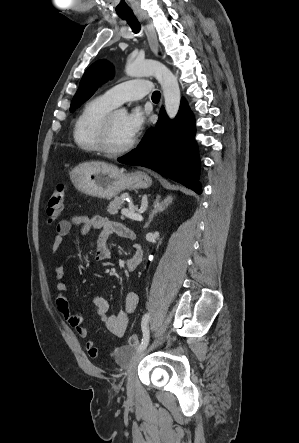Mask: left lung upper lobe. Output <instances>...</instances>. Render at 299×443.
Instances as JSON below:
<instances>
[{
	"mask_svg": "<svg viewBox=\"0 0 299 443\" xmlns=\"http://www.w3.org/2000/svg\"><path fill=\"white\" fill-rule=\"evenodd\" d=\"M112 76L113 67L105 60H100L90 66L84 73L79 89L72 99L70 111L73 112L84 101L89 99L99 85L112 78Z\"/></svg>",
	"mask_w": 299,
	"mask_h": 443,
	"instance_id": "obj_1",
	"label": "left lung upper lobe"
}]
</instances>
